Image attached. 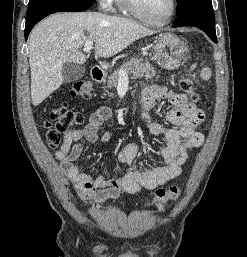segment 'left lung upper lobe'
Masks as SVG:
<instances>
[{
    "mask_svg": "<svg viewBox=\"0 0 247 257\" xmlns=\"http://www.w3.org/2000/svg\"><path fill=\"white\" fill-rule=\"evenodd\" d=\"M177 5V15L196 7L212 9L211 0H177Z\"/></svg>",
    "mask_w": 247,
    "mask_h": 257,
    "instance_id": "5c2ea615",
    "label": "left lung upper lobe"
}]
</instances>
